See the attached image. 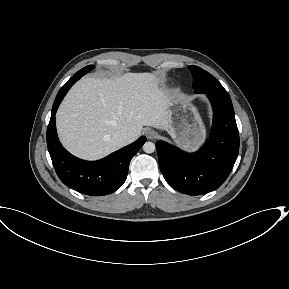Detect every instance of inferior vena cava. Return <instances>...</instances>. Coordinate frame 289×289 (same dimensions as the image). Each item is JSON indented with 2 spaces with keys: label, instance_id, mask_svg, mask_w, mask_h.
<instances>
[{
  "label": "inferior vena cava",
  "instance_id": "obj_1",
  "mask_svg": "<svg viewBox=\"0 0 289 289\" xmlns=\"http://www.w3.org/2000/svg\"><path fill=\"white\" fill-rule=\"evenodd\" d=\"M114 139L119 145L124 146L127 141V134L124 131H117L114 134Z\"/></svg>",
  "mask_w": 289,
  "mask_h": 289
}]
</instances>
